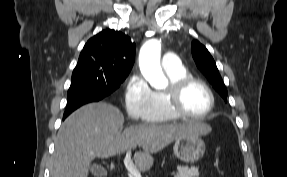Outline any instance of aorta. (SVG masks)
<instances>
[{
  "instance_id": "aorta-1",
  "label": "aorta",
  "mask_w": 287,
  "mask_h": 177,
  "mask_svg": "<svg viewBox=\"0 0 287 177\" xmlns=\"http://www.w3.org/2000/svg\"><path fill=\"white\" fill-rule=\"evenodd\" d=\"M161 44L152 39L147 41L139 54V66L142 75L155 89H163L167 86V79L160 66Z\"/></svg>"
}]
</instances>
